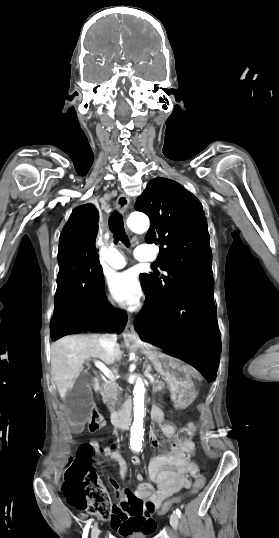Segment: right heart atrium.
Instances as JSON below:
<instances>
[{"instance_id": "1", "label": "right heart atrium", "mask_w": 279, "mask_h": 538, "mask_svg": "<svg viewBox=\"0 0 279 538\" xmlns=\"http://www.w3.org/2000/svg\"><path fill=\"white\" fill-rule=\"evenodd\" d=\"M134 231L137 234H142L143 233V228H138V229H136ZM101 310H102L103 314L106 317H113V316H115L117 314L116 304H115L114 300L112 299V297L110 295L105 294V295L102 296Z\"/></svg>"}]
</instances>
